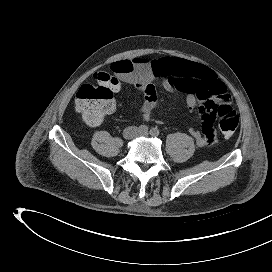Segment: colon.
<instances>
[{"label": "colon", "instance_id": "obj_1", "mask_svg": "<svg viewBox=\"0 0 272 272\" xmlns=\"http://www.w3.org/2000/svg\"><path fill=\"white\" fill-rule=\"evenodd\" d=\"M96 84L82 85L76 93L75 108L83 121L97 126L113 106L114 93L121 89L118 79L110 73L95 74ZM214 121L222 134L229 138L239 125L237 113L229 105H220Z\"/></svg>", "mask_w": 272, "mask_h": 272}]
</instances>
